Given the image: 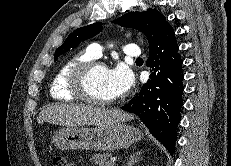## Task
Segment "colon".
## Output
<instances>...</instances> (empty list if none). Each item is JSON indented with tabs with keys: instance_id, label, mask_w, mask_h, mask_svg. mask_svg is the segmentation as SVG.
<instances>
[{
	"instance_id": "obj_1",
	"label": "colon",
	"mask_w": 231,
	"mask_h": 166,
	"mask_svg": "<svg viewBox=\"0 0 231 166\" xmlns=\"http://www.w3.org/2000/svg\"><path fill=\"white\" fill-rule=\"evenodd\" d=\"M52 165L53 166H76L72 161L61 157V156H55L52 159Z\"/></svg>"
}]
</instances>
